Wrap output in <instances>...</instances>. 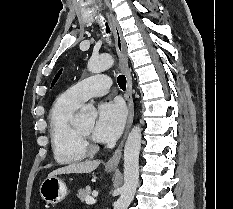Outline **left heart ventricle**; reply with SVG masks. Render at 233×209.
I'll return each instance as SVG.
<instances>
[{"label":"left heart ventricle","mask_w":233,"mask_h":209,"mask_svg":"<svg viewBox=\"0 0 233 209\" xmlns=\"http://www.w3.org/2000/svg\"><path fill=\"white\" fill-rule=\"evenodd\" d=\"M84 134L91 136L93 129H94V123H88L86 125L78 127Z\"/></svg>","instance_id":"b2bd125f"}]
</instances>
